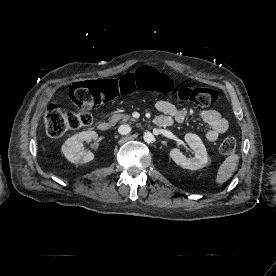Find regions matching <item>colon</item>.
I'll use <instances>...</instances> for the list:
<instances>
[{
	"label": "colon",
	"mask_w": 276,
	"mask_h": 276,
	"mask_svg": "<svg viewBox=\"0 0 276 276\" xmlns=\"http://www.w3.org/2000/svg\"><path fill=\"white\" fill-rule=\"evenodd\" d=\"M136 90L155 94L173 95L185 102L199 107H208L217 100L216 92L211 88L182 87L176 89L173 81L155 68L144 66L135 73L123 75L119 80L79 81L68 90V97L75 111H64L55 105L47 108L45 124L47 134L57 138L68 131L89 126L93 122L91 109ZM220 152L231 155L236 150V140L226 137L220 144Z\"/></svg>",
	"instance_id": "1"
}]
</instances>
